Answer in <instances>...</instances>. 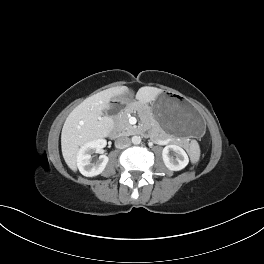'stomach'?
I'll use <instances>...</instances> for the list:
<instances>
[{
	"label": "stomach",
	"mask_w": 264,
	"mask_h": 264,
	"mask_svg": "<svg viewBox=\"0 0 264 264\" xmlns=\"http://www.w3.org/2000/svg\"><path fill=\"white\" fill-rule=\"evenodd\" d=\"M113 101L131 105L127 96L121 95ZM150 111L158 125L168 133L180 134L183 137H199L205 131V124L197 110L180 95L161 94L152 103Z\"/></svg>",
	"instance_id": "stomach-1"
}]
</instances>
